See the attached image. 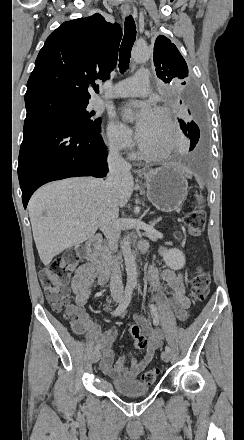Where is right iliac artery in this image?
I'll return each instance as SVG.
<instances>
[{
	"label": "right iliac artery",
	"mask_w": 244,
	"mask_h": 440,
	"mask_svg": "<svg viewBox=\"0 0 244 440\" xmlns=\"http://www.w3.org/2000/svg\"><path fill=\"white\" fill-rule=\"evenodd\" d=\"M131 299H132V288L127 287L125 289V294H124V297H123L121 303L118 305V307L113 312V316L120 315L128 307ZM100 348H101V345L97 344L95 347V350H99Z\"/></svg>",
	"instance_id": "obj_1"
}]
</instances>
